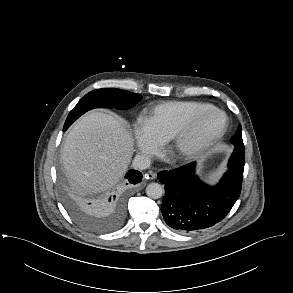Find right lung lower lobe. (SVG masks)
I'll return each instance as SVG.
<instances>
[{
    "instance_id": "1",
    "label": "right lung lower lobe",
    "mask_w": 293,
    "mask_h": 293,
    "mask_svg": "<svg viewBox=\"0 0 293 293\" xmlns=\"http://www.w3.org/2000/svg\"><path fill=\"white\" fill-rule=\"evenodd\" d=\"M126 178L128 180V183L136 184V183H139L141 181L142 174L137 170H130L126 174ZM128 183H126V184H128ZM89 204H91V203H89ZM92 206L94 208L98 209V211L93 210L96 213H99V214H103V213L112 214L111 219L113 221L112 222L113 224H119L120 221L123 218V215H124V201H123V198L121 196L112 195V196L104 197L102 199L94 201L93 204L90 205L89 208L91 209ZM114 228L115 227H111L108 230H112Z\"/></svg>"
}]
</instances>
